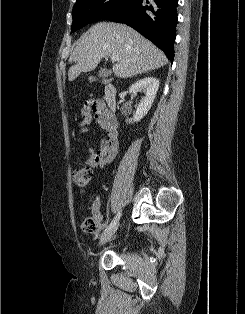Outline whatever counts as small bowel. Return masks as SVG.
Returning a JSON list of instances; mask_svg holds the SVG:
<instances>
[{"label": "small bowel", "mask_w": 245, "mask_h": 314, "mask_svg": "<svg viewBox=\"0 0 245 314\" xmlns=\"http://www.w3.org/2000/svg\"><path fill=\"white\" fill-rule=\"evenodd\" d=\"M81 116L82 128L78 133L76 140L78 143L83 144L86 147V161L88 164L94 169H102L114 160L118 152V127L116 120L105 112L103 102L97 99H91L84 103L81 110ZM92 116L95 118L97 125L105 132L97 149L90 147L82 138V134L88 130L87 126L89 125ZM99 206V199H96L93 205V212L99 221V226L94 231L95 233L101 232L105 226L104 217L98 212Z\"/></svg>", "instance_id": "small-bowel-1"}]
</instances>
